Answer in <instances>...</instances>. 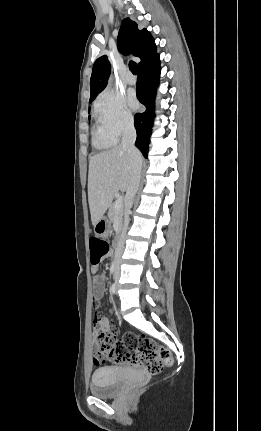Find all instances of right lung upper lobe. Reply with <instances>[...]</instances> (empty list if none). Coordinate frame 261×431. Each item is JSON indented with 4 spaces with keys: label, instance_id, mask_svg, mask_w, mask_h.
<instances>
[{
    "label": "right lung upper lobe",
    "instance_id": "obj_1",
    "mask_svg": "<svg viewBox=\"0 0 261 431\" xmlns=\"http://www.w3.org/2000/svg\"><path fill=\"white\" fill-rule=\"evenodd\" d=\"M117 45L122 54L131 53L141 59L138 67L156 54V46L150 33L146 29L139 30L130 18L122 21ZM110 71L111 66L106 55L95 61L90 79V100H94L106 87Z\"/></svg>",
    "mask_w": 261,
    "mask_h": 431
}]
</instances>
